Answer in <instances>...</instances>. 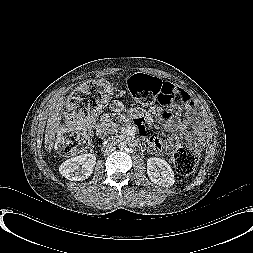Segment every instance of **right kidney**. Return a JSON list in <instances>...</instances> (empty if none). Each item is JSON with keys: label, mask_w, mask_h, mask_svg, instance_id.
I'll return each instance as SVG.
<instances>
[{"label": "right kidney", "mask_w": 253, "mask_h": 253, "mask_svg": "<svg viewBox=\"0 0 253 253\" xmlns=\"http://www.w3.org/2000/svg\"><path fill=\"white\" fill-rule=\"evenodd\" d=\"M95 164L94 154H81L64 161L59 167V172L70 181H83L93 173Z\"/></svg>", "instance_id": "ca27d5eb"}]
</instances>
